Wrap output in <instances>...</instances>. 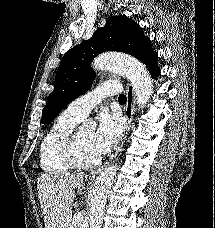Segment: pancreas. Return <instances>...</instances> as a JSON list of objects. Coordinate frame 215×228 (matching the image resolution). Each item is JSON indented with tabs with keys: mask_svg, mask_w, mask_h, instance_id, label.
I'll return each mask as SVG.
<instances>
[{
	"mask_svg": "<svg viewBox=\"0 0 215 228\" xmlns=\"http://www.w3.org/2000/svg\"><path fill=\"white\" fill-rule=\"evenodd\" d=\"M72 228H79V222H75V224H73Z\"/></svg>",
	"mask_w": 215,
	"mask_h": 228,
	"instance_id": "pancreas-1",
	"label": "pancreas"
}]
</instances>
